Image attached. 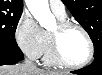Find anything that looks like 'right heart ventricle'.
<instances>
[{
  "mask_svg": "<svg viewBox=\"0 0 102 75\" xmlns=\"http://www.w3.org/2000/svg\"><path fill=\"white\" fill-rule=\"evenodd\" d=\"M59 21H63L66 19V16H59L57 15ZM44 38H45V48L43 58L46 64L53 65L56 64L51 55V45H50V33L48 31H43Z\"/></svg>",
  "mask_w": 102,
  "mask_h": 75,
  "instance_id": "right-heart-ventricle-1",
  "label": "right heart ventricle"
}]
</instances>
